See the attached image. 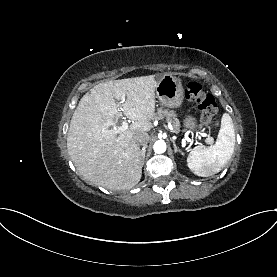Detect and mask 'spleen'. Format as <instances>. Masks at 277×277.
<instances>
[{"label":"spleen","mask_w":277,"mask_h":277,"mask_svg":"<svg viewBox=\"0 0 277 277\" xmlns=\"http://www.w3.org/2000/svg\"><path fill=\"white\" fill-rule=\"evenodd\" d=\"M235 147V130L232 118L224 113L221 128L214 145L196 146L187 157L189 169L201 177H209L220 172L230 160Z\"/></svg>","instance_id":"1"}]
</instances>
